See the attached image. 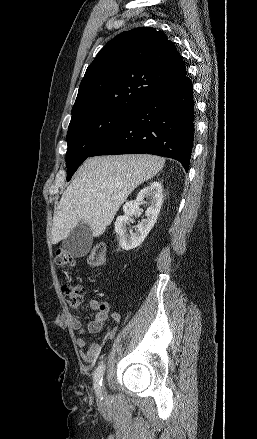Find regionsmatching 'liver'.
<instances>
[{
    "label": "liver",
    "mask_w": 257,
    "mask_h": 439,
    "mask_svg": "<svg viewBox=\"0 0 257 439\" xmlns=\"http://www.w3.org/2000/svg\"><path fill=\"white\" fill-rule=\"evenodd\" d=\"M164 163V158L148 154L87 159L62 194L53 218L52 244L65 239L79 223L89 225L93 237L102 235L131 192L156 175Z\"/></svg>",
    "instance_id": "obj_1"
}]
</instances>
